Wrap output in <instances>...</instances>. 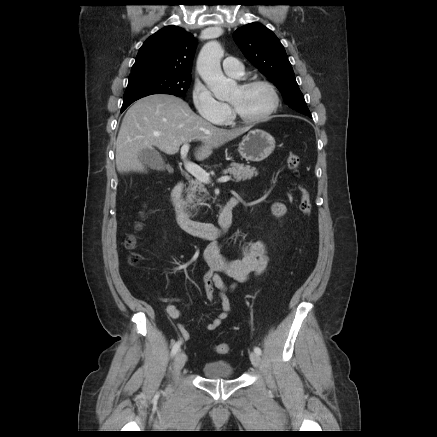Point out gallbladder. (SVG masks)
<instances>
[{"mask_svg":"<svg viewBox=\"0 0 437 437\" xmlns=\"http://www.w3.org/2000/svg\"><path fill=\"white\" fill-rule=\"evenodd\" d=\"M139 157L143 162V164H145L147 167L153 170L163 171L166 167L162 157L154 149L142 150L139 153Z\"/></svg>","mask_w":437,"mask_h":437,"instance_id":"1","label":"gallbladder"}]
</instances>
